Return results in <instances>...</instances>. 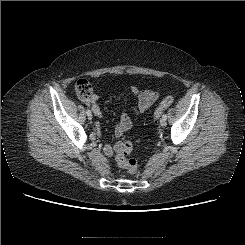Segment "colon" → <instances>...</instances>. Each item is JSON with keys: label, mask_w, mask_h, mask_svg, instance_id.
<instances>
[{"label": "colon", "mask_w": 245, "mask_h": 245, "mask_svg": "<svg viewBox=\"0 0 245 245\" xmlns=\"http://www.w3.org/2000/svg\"><path fill=\"white\" fill-rule=\"evenodd\" d=\"M76 95L82 100H88L92 95V86L86 79H79L74 86ZM174 101L172 96L165 97L158 105L154 111L153 118L158 120L162 112L169 107ZM122 135L124 131L120 132ZM133 151V145L128 142H120L118 147V152L116 156V161L119 167L127 170L128 172L135 174L138 172V163L135 159L129 158V155Z\"/></svg>", "instance_id": "colon-1"}]
</instances>
